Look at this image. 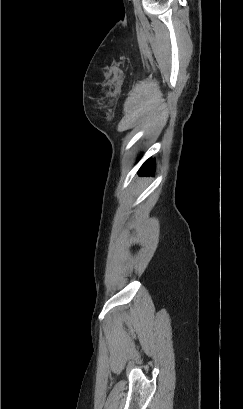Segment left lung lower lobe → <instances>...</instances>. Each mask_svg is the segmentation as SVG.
<instances>
[{
    "instance_id": "1",
    "label": "left lung lower lobe",
    "mask_w": 243,
    "mask_h": 409,
    "mask_svg": "<svg viewBox=\"0 0 243 409\" xmlns=\"http://www.w3.org/2000/svg\"><path fill=\"white\" fill-rule=\"evenodd\" d=\"M154 170V161L153 160H147L142 167L139 170L140 175H152Z\"/></svg>"
}]
</instances>
